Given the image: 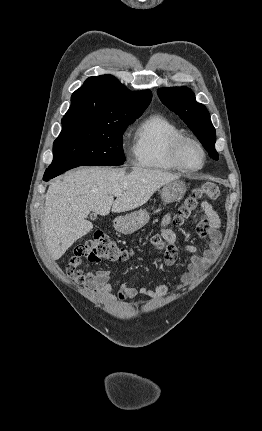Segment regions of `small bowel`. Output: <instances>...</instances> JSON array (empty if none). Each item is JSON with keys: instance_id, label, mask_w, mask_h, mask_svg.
Here are the masks:
<instances>
[{"instance_id": "1", "label": "small bowel", "mask_w": 262, "mask_h": 431, "mask_svg": "<svg viewBox=\"0 0 262 431\" xmlns=\"http://www.w3.org/2000/svg\"><path fill=\"white\" fill-rule=\"evenodd\" d=\"M201 208L205 215V221L199 224L198 232L208 242V248L200 251L193 245L186 246V250L191 253V257L186 269L180 275L179 289L192 284L203 275L211 264L221 238L219 232L221 221L219 215L207 201L201 202ZM170 220L171 216L169 214L163 218L161 236L168 245L163 249L164 261L167 265L172 266L176 262L178 248L176 235L168 228ZM72 277L76 283L83 285L87 291L97 293L107 301L134 298L138 294H142L148 298H156L165 293L170 287L167 283L159 284L153 288H134L123 285L115 291L110 283V272L108 270H97L80 275L74 274Z\"/></svg>"}]
</instances>
